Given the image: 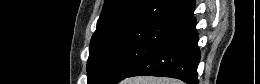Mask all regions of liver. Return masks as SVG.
I'll return each instance as SVG.
<instances>
[{
    "mask_svg": "<svg viewBox=\"0 0 260 84\" xmlns=\"http://www.w3.org/2000/svg\"><path fill=\"white\" fill-rule=\"evenodd\" d=\"M127 84H179V81L167 78L136 77L129 79Z\"/></svg>",
    "mask_w": 260,
    "mask_h": 84,
    "instance_id": "1",
    "label": "liver"
}]
</instances>
